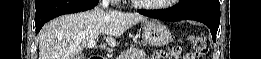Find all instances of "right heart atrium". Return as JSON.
<instances>
[{"instance_id":"1","label":"right heart atrium","mask_w":261,"mask_h":59,"mask_svg":"<svg viewBox=\"0 0 261 59\" xmlns=\"http://www.w3.org/2000/svg\"><path fill=\"white\" fill-rule=\"evenodd\" d=\"M109 1H111L113 3H117L119 0H109Z\"/></svg>"}]
</instances>
